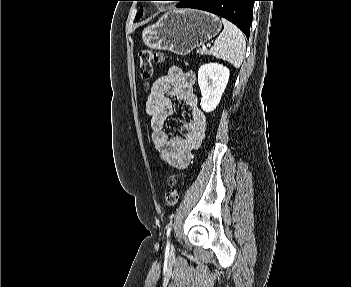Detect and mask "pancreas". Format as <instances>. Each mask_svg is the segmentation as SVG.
I'll use <instances>...</instances> for the list:
<instances>
[{"label": "pancreas", "mask_w": 351, "mask_h": 287, "mask_svg": "<svg viewBox=\"0 0 351 287\" xmlns=\"http://www.w3.org/2000/svg\"><path fill=\"white\" fill-rule=\"evenodd\" d=\"M197 52L199 54H201V55H207L208 54V51L206 49H199Z\"/></svg>", "instance_id": "pancreas-1"}]
</instances>
